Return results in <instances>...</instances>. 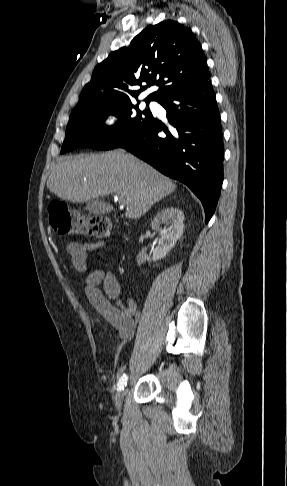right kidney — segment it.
<instances>
[{
	"mask_svg": "<svg viewBox=\"0 0 287 486\" xmlns=\"http://www.w3.org/2000/svg\"><path fill=\"white\" fill-rule=\"evenodd\" d=\"M184 214L174 207H167L157 213L154 220L151 222V228L159 231L161 238L159 239L157 247L153 250L152 257H148L145 252H139L137 255V264L140 266L146 261H158L163 259L168 252L175 246L177 240L181 237L184 228ZM162 224L168 227L161 228Z\"/></svg>",
	"mask_w": 287,
	"mask_h": 486,
	"instance_id": "right-kidney-1",
	"label": "right kidney"
}]
</instances>
